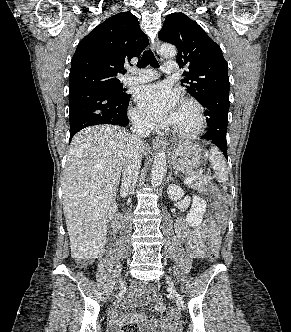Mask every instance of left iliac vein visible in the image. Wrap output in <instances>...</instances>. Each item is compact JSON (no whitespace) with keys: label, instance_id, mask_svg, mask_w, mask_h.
I'll use <instances>...</instances> for the list:
<instances>
[{"label":"left iliac vein","instance_id":"obj_1","mask_svg":"<svg viewBox=\"0 0 291 332\" xmlns=\"http://www.w3.org/2000/svg\"><path fill=\"white\" fill-rule=\"evenodd\" d=\"M166 280H167V283H168L169 286H170L171 291H172L173 293H176V289H175V286H174V284H173V282H172L171 277H170V276H166Z\"/></svg>","mask_w":291,"mask_h":332}]
</instances>
